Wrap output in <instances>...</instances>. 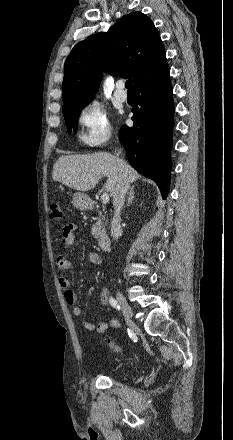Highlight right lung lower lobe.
<instances>
[{
  "mask_svg": "<svg viewBox=\"0 0 233 440\" xmlns=\"http://www.w3.org/2000/svg\"><path fill=\"white\" fill-rule=\"evenodd\" d=\"M134 89V124L122 126L119 140L131 166L154 180L165 199L170 186L174 113L169 66Z\"/></svg>",
  "mask_w": 233,
  "mask_h": 440,
  "instance_id": "1",
  "label": "right lung lower lobe"
}]
</instances>
